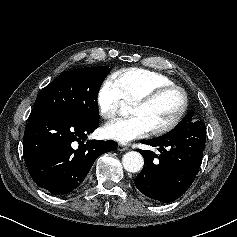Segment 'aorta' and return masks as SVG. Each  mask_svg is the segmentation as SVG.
Instances as JSON below:
<instances>
[{
	"instance_id": "obj_1",
	"label": "aorta",
	"mask_w": 237,
	"mask_h": 237,
	"mask_svg": "<svg viewBox=\"0 0 237 237\" xmlns=\"http://www.w3.org/2000/svg\"><path fill=\"white\" fill-rule=\"evenodd\" d=\"M122 163L126 171L136 173L143 168L144 159L140 153L130 151L123 156Z\"/></svg>"
}]
</instances>
